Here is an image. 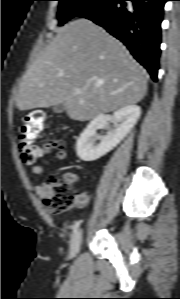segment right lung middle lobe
<instances>
[{"label": "right lung middle lobe", "instance_id": "1", "mask_svg": "<svg viewBox=\"0 0 180 299\" xmlns=\"http://www.w3.org/2000/svg\"><path fill=\"white\" fill-rule=\"evenodd\" d=\"M59 11L58 19L59 25H63L65 22L75 16H80L87 10L96 6L103 0H58Z\"/></svg>", "mask_w": 180, "mask_h": 299}]
</instances>
